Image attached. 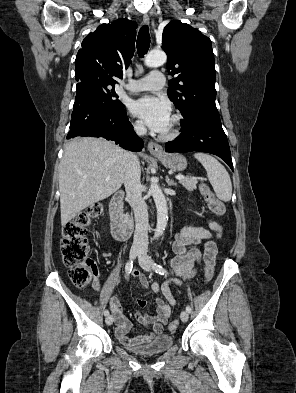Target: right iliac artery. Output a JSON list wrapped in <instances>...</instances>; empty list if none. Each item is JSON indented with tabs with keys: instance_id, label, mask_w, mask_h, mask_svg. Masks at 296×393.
<instances>
[{
	"instance_id": "82829eb1",
	"label": "right iliac artery",
	"mask_w": 296,
	"mask_h": 393,
	"mask_svg": "<svg viewBox=\"0 0 296 393\" xmlns=\"http://www.w3.org/2000/svg\"><path fill=\"white\" fill-rule=\"evenodd\" d=\"M132 267H133V261H132V260H131V261H128V262L126 263V266H125V272H126V276H127V277H128L129 274L131 273ZM104 315H105V316H108V315H109V311H108L107 309L104 310Z\"/></svg>"
}]
</instances>
